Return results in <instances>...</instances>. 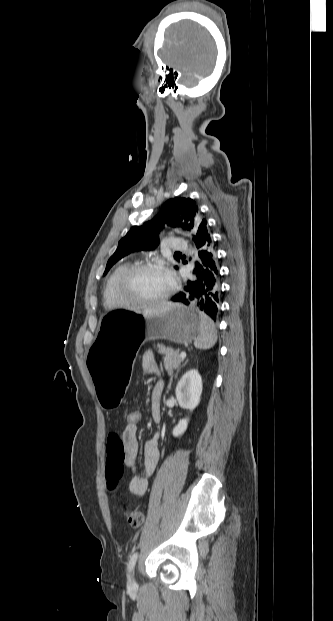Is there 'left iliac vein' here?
<instances>
[{"label":"left iliac vein","mask_w":333,"mask_h":621,"mask_svg":"<svg viewBox=\"0 0 333 621\" xmlns=\"http://www.w3.org/2000/svg\"><path fill=\"white\" fill-rule=\"evenodd\" d=\"M130 584H135V578L133 577L132 579H130Z\"/></svg>","instance_id":"obj_1"}]
</instances>
